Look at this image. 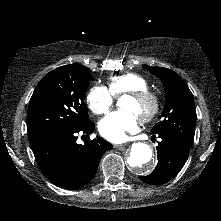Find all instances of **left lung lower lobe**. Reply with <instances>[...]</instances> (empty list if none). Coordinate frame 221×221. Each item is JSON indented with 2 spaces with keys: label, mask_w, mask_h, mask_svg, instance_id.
<instances>
[{
  "label": "left lung lower lobe",
  "mask_w": 221,
  "mask_h": 221,
  "mask_svg": "<svg viewBox=\"0 0 221 221\" xmlns=\"http://www.w3.org/2000/svg\"><path fill=\"white\" fill-rule=\"evenodd\" d=\"M156 135L161 138L157 146L158 164L150 175L139 177L140 180L152 185L163 184L176 176L190 151L171 136L154 134L152 137Z\"/></svg>",
  "instance_id": "0a47b994"
}]
</instances>
